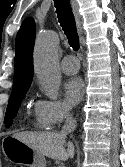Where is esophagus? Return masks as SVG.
Returning a JSON list of instances; mask_svg holds the SVG:
<instances>
[{
    "label": "esophagus",
    "mask_w": 125,
    "mask_h": 167,
    "mask_svg": "<svg viewBox=\"0 0 125 167\" xmlns=\"http://www.w3.org/2000/svg\"><path fill=\"white\" fill-rule=\"evenodd\" d=\"M71 5H72V10H73V14L75 17V21H76V27H77V31L78 33L82 36L83 35V29H82V22H81V16L79 13V8H78V4L76 0H71Z\"/></svg>",
    "instance_id": "obj_1"
}]
</instances>
